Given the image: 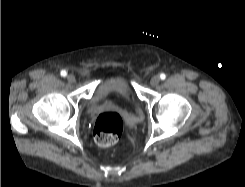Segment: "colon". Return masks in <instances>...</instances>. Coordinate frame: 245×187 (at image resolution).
<instances>
[{"label": "colon", "mask_w": 245, "mask_h": 187, "mask_svg": "<svg viewBox=\"0 0 245 187\" xmlns=\"http://www.w3.org/2000/svg\"><path fill=\"white\" fill-rule=\"evenodd\" d=\"M123 131L121 117L114 112L98 115L93 126L95 142L100 146H110L118 141Z\"/></svg>", "instance_id": "obj_1"}]
</instances>
